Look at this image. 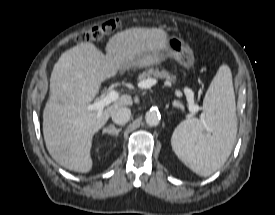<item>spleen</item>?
Wrapping results in <instances>:
<instances>
[{
    "mask_svg": "<svg viewBox=\"0 0 275 215\" xmlns=\"http://www.w3.org/2000/svg\"><path fill=\"white\" fill-rule=\"evenodd\" d=\"M201 119L181 122L171 143L178 158L193 172L209 176L227 161L237 134V117L232 73L222 65L203 101Z\"/></svg>",
    "mask_w": 275,
    "mask_h": 215,
    "instance_id": "obj_1",
    "label": "spleen"
}]
</instances>
